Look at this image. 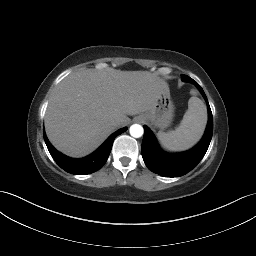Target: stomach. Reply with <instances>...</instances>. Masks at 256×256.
<instances>
[{
	"mask_svg": "<svg viewBox=\"0 0 256 256\" xmlns=\"http://www.w3.org/2000/svg\"><path fill=\"white\" fill-rule=\"evenodd\" d=\"M173 114L174 104L169 88H167L161 91L153 106L148 111L141 113L138 118L157 128L165 129L171 124Z\"/></svg>",
	"mask_w": 256,
	"mask_h": 256,
	"instance_id": "0dacf381",
	"label": "stomach"
}]
</instances>
